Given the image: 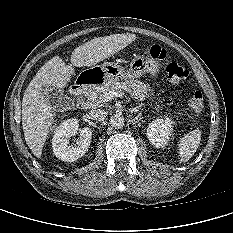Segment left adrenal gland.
<instances>
[{
    "mask_svg": "<svg viewBox=\"0 0 233 233\" xmlns=\"http://www.w3.org/2000/svg\"><path fill=\"white\" fill-rule=\"evenodd\" d=\"M144 104H139L137 107H135V108H130L129 109V111L131 112V113H133V112H138L139 111V109L143 106Z\"/></svg>",
    "mask_w": 233,
    "mask_h": 233,
    "instance_id": "a2214340",
    "label": "left adrenal gland"
}]
</instances>
